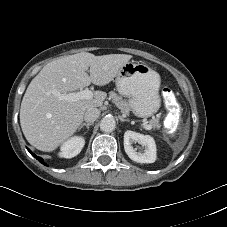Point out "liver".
<instances>
[{
	"instance_id": "6515ba94",
	"label": "liver",
	"mask_w": 227,
	"mask_h": 227,
	"mask_svg": "<svg viewBox=\"0 0 227 227\" xmlns=\"http://www.w3.org/2000/svg\"><path fill=\"white\" fill-rule=\"evenodd\" d=\"M131 58L126 54L95 56L81 52L45 65L28 85L21 103L20 124L27 141L40 151L55 150L76 132L85 112L101 107L107 96L95 91L91 99L68 102L55 92L67 94L91 83L107 85Z\"/></svg>"
}]
</instances>
